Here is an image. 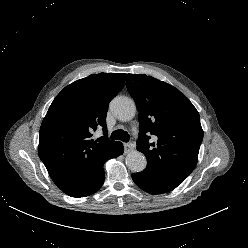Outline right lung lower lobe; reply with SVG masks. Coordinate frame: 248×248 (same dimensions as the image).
<instances>
[{
    "instance_id": "1",
    "label": "right lung lower lobe",
    "mask_w": 248,
    "mask_h": 248,
    "mask_svg": "<svg viewBox=\"0 0 248 248\" xmlns=\"http://www.w3.org/2000/svg\"><path fill=\"white\" fill-rule=\"evenodd\" d=\"M123 152H124L123 144L121 142H117L110 152L109 159L118 157L119 155H122ZM104 178H105V173L102 167L99 174L92 181H90L86 186L72 193H68V195L71 197H77V198L91 195L95 193L97 190H99V188L102 186L104 182Z\"/></svg>"
}]
</instances>
